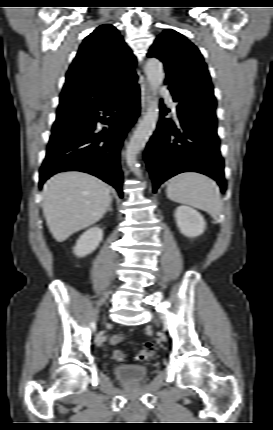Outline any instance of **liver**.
Masks as SVG:
<instances>
[{"instance_id":"6515ba94","label":"liver","mask_w":273,"mask_h":430,"mask_svg":"<svg viewBox=\"0 0 273 430\" xmlns=\"http://www.w3.org/2000/svg\"><path fill=\"white\" fill-rule=\"evenodd\" d=\"M111 201L108 185L81 171L58 173L43 187V213L58 242L98 222Z\"/></svg>"}]
</instances>
